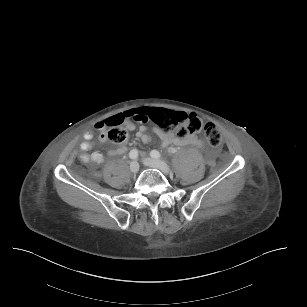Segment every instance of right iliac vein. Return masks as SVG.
Wrapping results in <instances>:
<instances>
[{
  "label": "right iliac vein",
  "mask_w": 307,
  "mask_h": 307,
  "mask_svg": "<svg viewBox=\"0 0 307 307\" xmlns=\"http://www.w3.org/2000/svg\"><path fill=\"white\" fill-rule=\"evenodd\" d=\"M140 165L137 161H132L130 164V170L132 173H137L139 171Z\"/></svg>",
  "instance_id": "obj_1"
}]
</instances>
